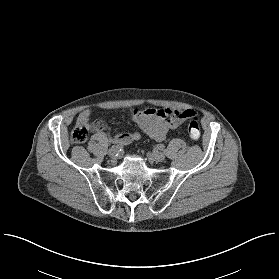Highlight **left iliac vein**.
I'll return each instance as SVG.
<instances>
[{"mask_svg": "<svg viewBox=\"0 0 279 279\" xmlns=\"http://www.w3.org/2000/svg\"><path fill=\"white\" fill-rule=\"evenodd\" d=\"M151 156L156 162H162L165 160V155L161 152H153L151 153Z\"/></svg>", "mask_w": 279, "mask_h": 279, "instance_id": "4c4485c4", "label": "left iliac vein"}]
</instances>
